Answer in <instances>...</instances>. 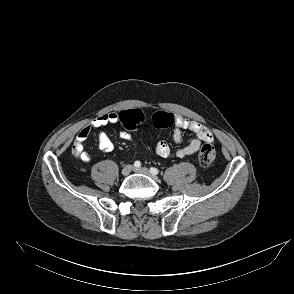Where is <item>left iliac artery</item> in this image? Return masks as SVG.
Instances as JSON below:
<instances>
[{
	"instance_id": "left-iliac-artery-1",
	"label": "left iliac artery",
	"mask_w": 294,
	"mask_h": 294,
	"mask_svg": "<svg viewBox=\"0 0 294 294\" xmlns=\"http://www.w3.org/2000/svg\"><path fill=\"white\" fill-rule=\"evenodd\" d=\"M150 172L153 173V174H158L159 170L157 168H155V167H151Z\"/></svg>"
}]
</instances>
